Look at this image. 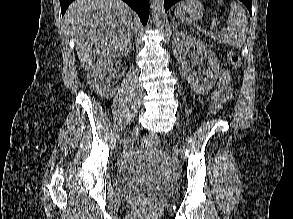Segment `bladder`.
I'll return each mask as SVG.
<instances>
[{"label": "bladder", "mask_w": 293, "mask_h": 219, "mask_svg": "<svg viewBox=\"0 0 293 219\" xmlns=\"http://www.w3.org/2000/svg\"><path fill=\"white\" fill-rule=\"evenodd\" d=\"M115 186L124 192L145 194L162 205H170L177 198V193L171 186L159 184L127 173H119L116 175Z\"/></svg>", "instance_id": "bladder-1"}]
</instances>
